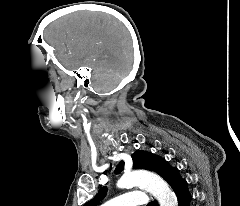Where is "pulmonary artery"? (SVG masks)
Instances as JSON below:
<instances>
[{
	"label": "pulmonary artery",
	"instance_id": "e3ab8cb5",
	"mask_svg": "<svg viewBox=\"0 0 240 206\" xmlns=\"http://www.w3.org/2000/svg\"><path fill=\"white\" fill-rule=\"evenodd\" d=\"M148 198L142 191H130L115 197L102 206H138L147 204Z\"/></svg>",
	"mask_w": 240,
	"mask_h": 206
}]
</instances>
